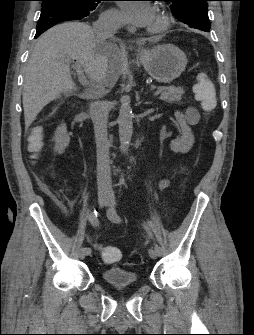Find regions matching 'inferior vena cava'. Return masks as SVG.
Masks as SVG:
<instances>
[{
  "instance_id": "602c4592",
  "label": "inferior vena cava",
  "mask_w": 254,
  "mask_h": 335,
  "mask_svg": "<svg viewBox=\"0 0 254 335\" xmlns=\"http://www.w3.org/2000/svg\"><path fill=\"white\" fill-rule=\"evenodd\" d=\"M120 24L112 15H101L93 23V31L100 39L112 38ZM90 115L94 125L97 152V184L100 191H111V168L109 158V140L107 136L108 109L106 101H94L90 104Z\"/></svg>"
}]
</instances>
